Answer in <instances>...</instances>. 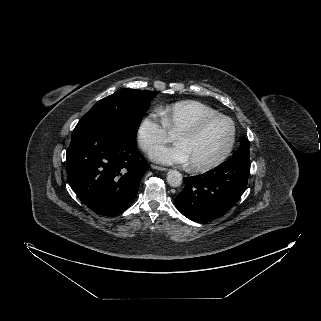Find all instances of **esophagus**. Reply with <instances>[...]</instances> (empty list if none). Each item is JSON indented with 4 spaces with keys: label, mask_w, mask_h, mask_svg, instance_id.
<instances>
[{
    "label": "esophagus",
    "mask_w": 321,
    "mask_h": 321,
    "mask_svg": "<svg viewBox=\"0 0 321 321\" xmlns=\"http://www.w3.org/2000/svg\"><path fill=\"white\" fill-rule=\"evenodd\" d=\"M151 167L153 169L160 170V171H166L167 170V168L161 167V166H157V165H151Z\"/></svg>",
    "instance_id": "esophagus-1"
}]
</instances>
